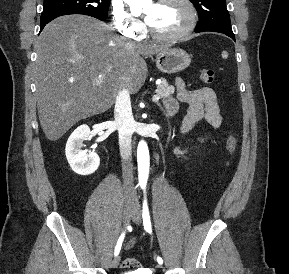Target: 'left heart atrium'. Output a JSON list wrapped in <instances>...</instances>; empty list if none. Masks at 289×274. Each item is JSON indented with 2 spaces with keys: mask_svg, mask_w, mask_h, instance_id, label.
Here are the masks:
<instances>
[{
  "mask_svg": "<svg viewBox=\"0 0 289 274\" xmlns=\"http://www.w3.org/2000/svg\"><path fill=\"white\" fill-rule=\"evenodd\" d=\"M146 21L149 22V17L148 16L146 17Z\"/></svg>",
  "mask_w": 289,
  "mask_h": 274,
  "instance_id": "left-heart-atrium-1",
  "label": "left heart atrium"
}]
</instances>
